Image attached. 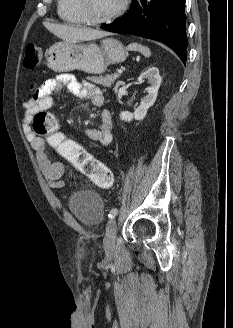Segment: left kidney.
Returning <instances> with one entry per match:
<instances>
[{
    "label": "left kidney",
    "mask_w": 233,
    "mask_h": 328,
    "mask_svg": "<svg viewBox=\"0 0 233 328\" xmlns=\"http://www.w3.org/2000/svg\"><path fill=\"white\" fill-rule=\"evenodd\" d=\"M145 79H148L150 87L147 90V95L141 100L140 106L135 110L134 113L129 111H122L120 118L122 121L130 122L133 119L142 120L148 109L154 105L158 89L161 85V76L159 74V69L157 67H150L138 77V82L142 83Z\"/></svg>",
    "instance_id": "5707ae66"
}]
</instances>
